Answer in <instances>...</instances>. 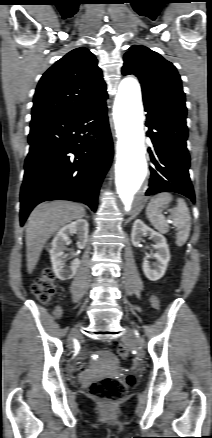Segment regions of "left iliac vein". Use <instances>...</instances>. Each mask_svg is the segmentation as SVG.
Masks as SVG:
<instances>
[{
  "label": "left iliac vein",
  "instance_id": "4c4485c4",
  "mask_svg": "<svg viewBox=\"0 0 212 438\" xmlns=\"http://www.w3.org/2000/svg\"><path fill=\"white\" fill-rule=\"evenodd\" d=\"M123 339H124V341H126L128 343L134 344V342L136 340V331L133 330V329L128 330L127 333L125 334V336L123 337ZM137 343H138L139 346H143L144 345V342L141 339H139L137 341Z\"/></svg>",
  "mask_w": 212,
  "mask_h": 438
}]
</instances>
